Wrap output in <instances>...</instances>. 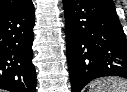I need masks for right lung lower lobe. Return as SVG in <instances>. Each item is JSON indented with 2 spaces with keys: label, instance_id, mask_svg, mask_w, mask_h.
I'll return each mask as SVG.
<instances>
[{
  "label": "right lung lower lobe",
  "instance_id": "98d812e1",
  "mask_svg": "<svg viewBox=\"0 0 127 92\" xmlns=\"http://www.w3.org/2000/svg\"><path fill=\"white\" fill-rule=\"evenodd\" d=\"M33 3L0 13V88L35 92L36 72L31 60L35 23Z\"/></svg>",
  "mask_w": 127,
  "mask_h": 92
}]
</instances>
